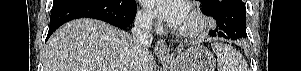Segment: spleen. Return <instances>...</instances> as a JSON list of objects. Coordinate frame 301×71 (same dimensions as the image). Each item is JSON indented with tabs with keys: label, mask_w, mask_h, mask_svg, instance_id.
<instances>
[{
	"label": "spleen",
	"mask_w": 301,
	"mask_h": 71,
	"mask_svg": "<svg viewBox=\"0 0 301 71\" xmlns=\"http://www.w3.org/2000/svg\"><path fill=\"white\" fill-rule=\"evenodd\" d=\"M211 47L217 56L218 71H249L246 60L231 45L215 42Z\"/></svg>",
	"instance_id": "3e777b00"
}]
</instances>
